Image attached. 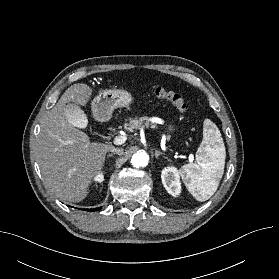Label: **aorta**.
I'll use <instances>...</instances> for the list:
<instances>
[{
  "instance_id": "aorta-1",
  "label": "aorta",
  "mask_w": 279,
  "mask_h": 279,
  "mask_svg": "<svg viewBox=\"0 0 279 279\" xmlns=\"http://www.w3.org/2000/svg\"><path fill=\"white\" fill-rule=\"evenodd\" d=\"M148 161H149V156L143 151H138L132 156L131 159L132 165L136 168L147 166Z\"/></svg>"
}]
</instances>
